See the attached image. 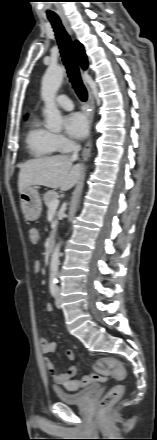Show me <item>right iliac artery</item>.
Wrapping results in <instances>:
<instances>
[{
	"label": "right iliac artery",
	"mask_w": 157,
	"mask_h": 440,
	"mask_svg": "<svg viewBox=\"0 0 157 440\" xmlns=\"http://www.w3.org/2000/svg\"><path fill=\"white\" fill-rule=\"evenodd\" d=\"M49 288H50V292H51L52 296L56 297V291H57L56 282H51L49 285Z\"/></svg>",
	"instance_id": "right-iliac-artery-1"
}]
</instances>
